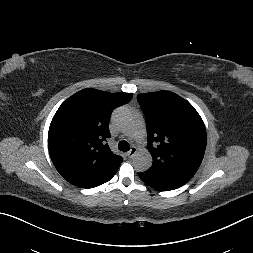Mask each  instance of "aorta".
Here are the masks:
<instances>
[{"instance_id":"762f6f07","label":"aorta","mask_w":253,"mask_h":253,"mask_svg":"<svg viewBox=\"0 0 253 253\" xmlns=\"http://www.w3.org/2000/svg\"><path fill=\"white\" fill-rule=\"evenodd\" d=\"M113 122L121 130H128L134 126V119L132 114L125 109H117L113 114ZM134 168L138 172L148 170L152 165V156L147 150L139 151L133 158Z\"/></svg>"}]
</instances>
